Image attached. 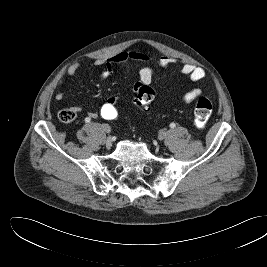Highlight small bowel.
<instances>
[{"label":"small bowel","instance_id":"small-bowel-1","mask_svg":"<svg viewBox=\"0 0 267 267\" xmlns=\"http://www.w3.org/2000/svg\"><path fill=\"white\" fill-rule=\"evenodd\" d=\"M150 59L148 55L138 52V51H123L115 55L114 57L108 59L107 61H98L96 65L100 66L102 68L101 76L103 78L110 77L113 75L115 68L118 64L124 63L128 60H148ZM173 63V58L170 56H164L158 59L154 65H147L143 67L139 71V79L138 82L134 85L133 90L136 91V89L141 85H147L150 84L153 78L154 68H160V69H166ZM78 69V64H72L68 70L67 75L72 77L76 74ZM181 73L188 77L191 81L197 82L200 81L204 75V70L196 65L192 64H186L182 67ZM202 93L201 89L195 88L189 91L184 96V101L186 103H189L196 99L198 96H200ZM65 95L63 92H57L55 94V100L56 101H62L64 99ZM116 101H119L121 96H112L110 97ZM75 110H80L81 106L80 104L74 105ZM89 115L91 117H96V112H90Z\"/></svg>","mask_w":267,"mask_h":267}]
</instances>
